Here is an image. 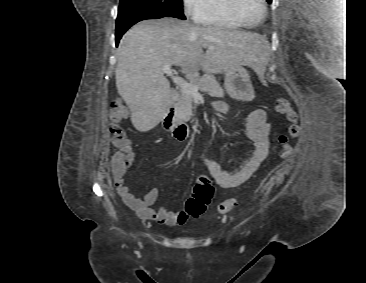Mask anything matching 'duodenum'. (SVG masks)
I'll return each mask as SVG.
<instances>
[{
  "instance_id": "410a0bca",
  "label": "duodenum",
  "mask_w": 366,
  "mask_h": 283,
  "mask_svg": "<svg viewBox=\"0 0 366 283\" xmlns=\"http://www.w3.org/2000/svg\"><path fill=\"white\" fill-rule=\"evenodd\" d=\"M164 127L170 131L173 137L183 141L189 135V126L176 116L175 107L170 104L164 114Z\"/></svg>"
}]
</instances>
